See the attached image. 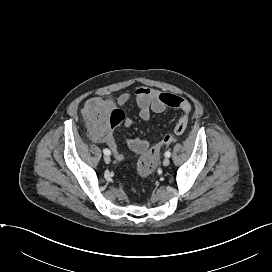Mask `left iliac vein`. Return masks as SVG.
<instances>
[{
	"mask_svg": "<svg viewBox=\"0 0 272 272\" xmlns=\"http://www.w3.org/2000/svg\"><path fill=\"white\" fill-rule=\"evenodd\" d=\"M170 164V160L168 157H166L164 160H163V165L164 166H168Z\"/></svg>",
	"mask_w": 272,
	"mask_h": 272,
	"instance_id": "obj_1",
	"label": "left iliac vein"
}]
</instances>
